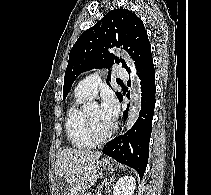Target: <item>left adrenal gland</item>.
Here are the masks:
<instances>
[{"label": "left adrenal gland", "mask_w": 211, "mask_h": 195, "mask_svg": "<svg viewBox=\"0 0 211 195\" xmlns=\"http://www.w3.org/2000/svg\"><path fill=\"white\" fill-rule=\"evenodd\" d=\"M114 180H115V175H112L108 181L107 180L105 181V187H106L105 192L106 193L110 192V186H111L112 182H114Z\"/></svg>", "instance_id": "a2214340"}]
</instances>
